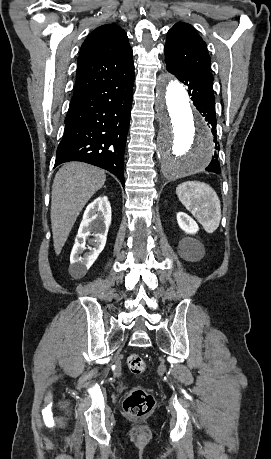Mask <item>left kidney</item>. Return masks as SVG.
Here are the masks:
<instances>
[{"label": "left kidney", "instance_id": "left-kidney-1", "mask_svg": "<svg viewBox=\"0 0 271 459\" xmlns=\"http://www.w3.org/2000/svg\"><path fill=\"white\" fill-rule=\"evenodd\" d=\"M177 222L179 228L186 231V233H195L197 231L198 226L196 222H194L193 218H190L188 214H184V212H178L177 214ZM192 239L190 237H184L182 241H180V245H184L187 251H196L197 247H195L194 243H191Z\"/></svg>", "mask_w": 271, "mask_h": 459}]
</instances>
